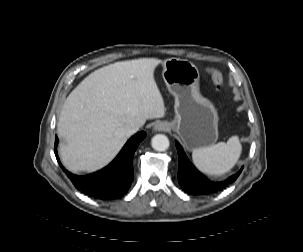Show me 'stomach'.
I'll return each mask as SVG.
<instances>
[{
    "mask_svg": "<svg viewBox=\"0 0 303 252\" xmlns=\"http://www.w3.org/2000/svg\"><path fill=\"white\" fill-rule=\"evenodd\" d=\"M162 77L175 97V118L168 123L188 150L212 146L218 139V114L199 91V70L180 58L162 62Z\"/></svg>",
    "mask_w": 303,
    "mask_h": 252,
    "instance_id": "1",
    "label": "stomach"
}]
</instances>
